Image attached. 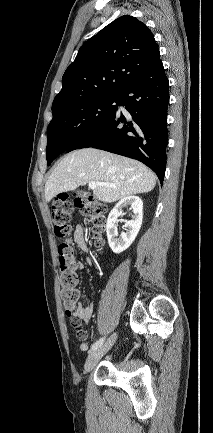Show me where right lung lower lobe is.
Segmentation results:
<instances>
[{"mask_svg": "<svg viewBox=\"0 0 213 433\" xmlns=\"http://www.w3.org/2000/svg\"><path fill=\"white\" fill-rule=\"evenodd\" d=\"M169 81L158 58L150 69L122 94L119 104L130 117L116 111L102 126L69 147L97 148L137 159L150 167L163 183L168 145Z\"/></svg>", "mask_w": 213, "mask_h": 433, "instance_id": "obj_1", "label": "right lung lower lobe"}]
</instances>
